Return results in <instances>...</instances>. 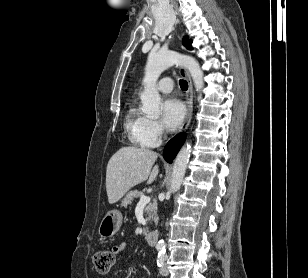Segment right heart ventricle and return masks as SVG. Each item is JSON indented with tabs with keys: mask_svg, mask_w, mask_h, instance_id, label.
<instances>
[{
	"mask_svg": "<svg viewBox=\"0 0 308 278\" xmlns=\"http://www.w3.org/2000/svg\"><path fill=\"white\" fill-rule=\"evenodd\" d=\"M147 118L132 104L125 117V129L130 141L139 146H146L144 132Z\"/></svg>",
	"mask_w": 308,
	"mask_h": 278,
	"instance_id": "right-heart-ventricle-1",
	"label": "right heart ventricle"
}]
</instances>
